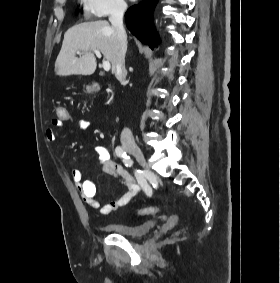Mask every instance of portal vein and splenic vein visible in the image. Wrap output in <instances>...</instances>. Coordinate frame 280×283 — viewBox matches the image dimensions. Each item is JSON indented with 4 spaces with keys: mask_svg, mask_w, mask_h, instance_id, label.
<instances>
[{
    "mask_svg": "<svg viewBox=\"0 0 280 283\" xmlns=\"http://www.w3.org/2000/svg\"><path fill=\"white\" fill-rule=\"evenodd\" d=\"M92 51H94V53L96 54V56H97L98 58H101L102 55H101V53H100L99 50H97V49H92ZM102 66H103V69H104L105 71H109L110 68H111L109 61H104Z\"/></svg>",
    "mask_w": 280,
    "mask_h": 283,
    "instance_id": "18ae733b",
    "label": "portal vein and splenic vein"
}]
</instances>
